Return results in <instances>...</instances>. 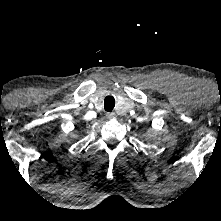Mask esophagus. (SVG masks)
<instances>
[{"mask_svg":"<svg viewBox=\"0 0 221 221\" xmlns=\"http://www.w3.org/2000/svg\"><path fill=\"white\" fill-rule=\"evenodd\" d=\"M108 119H115L116 118V114L114 112H109L106 114Z\"/></svg>","mask_w":221,"mask_h":221,"instance_id":"esophagus-1","label":"esophagus"}]
</instances>
